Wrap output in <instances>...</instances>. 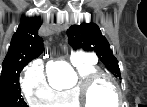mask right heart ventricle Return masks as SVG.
<instances>
[{
	"label": "right heart ventricle",
	"instance_id": "1",
	"mask_svg": "<svg viewBox=\"0 0 147 107\" xmlns=\"http://www.w3.org/2000/svg\"><path fill=\"white\" fill-rule=\"evenodd\" d=\"M73 65L77 70L79 81L99 71L94 60L77 62L73 63ZM54 105L60 107H81L77 95V84L69 89L55 92L54 102L51 106Z\"/></svg>",
	"mask_w": 147,
	"mask_h": 107
}]
</instances>
